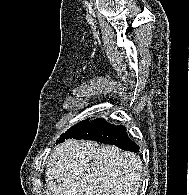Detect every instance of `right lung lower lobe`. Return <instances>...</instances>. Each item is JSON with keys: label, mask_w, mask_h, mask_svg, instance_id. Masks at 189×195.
I'll return each mask as SVG.
<instances>
[{"label": "right lung lower lobe", "mask_w": 189, "mask_h": 195, "mask_svg": "<svg viewBox=\"0 0 189 195\" xmlns=\"http://www.w3.org/2000/svg\"><path fill=\"white\" fill-rule=\"evenodd\" d=\"M73 139H85L115 145L123 150L139 152V147L127 135L123 125H111L103 119L88 122L87 125L72 137ZM63 142V141H61Z\"/></svg>", "instance_id": "98d812e1"}]
</instances>
